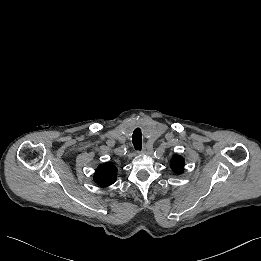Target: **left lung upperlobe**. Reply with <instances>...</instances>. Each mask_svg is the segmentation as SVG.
<instances>
[{
    "label": "left lung upper lobe",
    "instance_id": "obj_1",
    "mask_svg": "<svg viewBox=\"0 0 261 261\" xmlns=\"http://www.w3.org/2000/svg\"><path fill=\"white\" fill-rule=\"evenodd\" d=\"M184 165L185 163L183 157L179 155H175L172 157L170 166L174 172H176L177 174L182 173L184 170Z\"/></svg>",
    "mask_w": 261,
    "mask_h": 261
}]
</instances>
